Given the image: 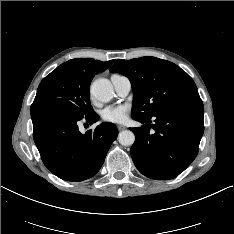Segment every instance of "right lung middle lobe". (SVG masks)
Here are the masks:
<instances>
[{
  "label": "right lung middle lobe",
  "instance_id": "1",
  "mask_svg": "<svg viewBox=\"0 0 234 234\" xmlns=\"http://www.w3.org/2000/svg\"><path fill=\"white\" fill-rule=\"evenodd\" d=\"M89 86L88 81L59 66L41 81L30 111L54 109L79 117L91 114Z\"/></svg>",
  "mask_w": 234,
  "mask_h": 234
}]
</instances>
